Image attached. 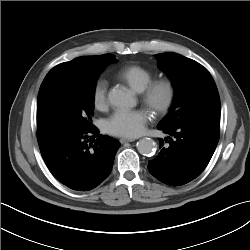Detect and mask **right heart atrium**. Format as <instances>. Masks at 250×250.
<instances>
[{"label":"right heart atrium","instance_id":"1","mask_svg":"<svg viewBox=\"0 0 250 250\" xmlns=\"http://www.w3.org/2000/svg\"><path fill=\"white\" fill-rule=\"evenodd\" d=\"M108 82L104 78H98L93 86L92 100L94 106L103 110L108 106Z\"/></svg>","mask_w":250,"mask_h":250}]
</instances>
